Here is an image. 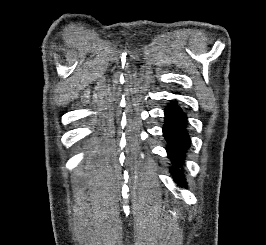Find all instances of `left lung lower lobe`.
I'll return each instance as SVG.
<instances>
[{
    "label": "left lung lower lobe",
    "instance_id": "0a47b994",
    "mask_svg": "<svg viewBox=\"0 0 266 245\" xmlns=\"http://www.w3.org/2000/svg\"><path fill=\"white\" fill-rule=\"evenodd\" d=\"M187 115L177 105L170 103L165 108V124L163 126V135L168 142L166 148L173 167L170 170L174 176V181L184 187L186 183L178 167H182L185 153L190 147V138L187 132Z\"/></svg>",
    "mask_w": 266,
    "mask_h": 245
}]
</instances>
